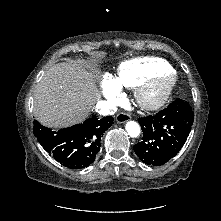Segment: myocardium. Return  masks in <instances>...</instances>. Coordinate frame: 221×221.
<instances>
[{"label": "myocardium", "instance_id": "1", "mask_svg": "<svg viewBox=\"0 0 221 221\" xmlns=\"http://www.w3.org/2000/svg\"><path fill=\"white\" fill-rule=\"evenodd\" d=\"M177 85V76L172 71L157 73L141 83L135 91L138 104L146 110L162 107Z\"/></svg>", "mask_w": 221, "mask_h": 221}]
</instances>
